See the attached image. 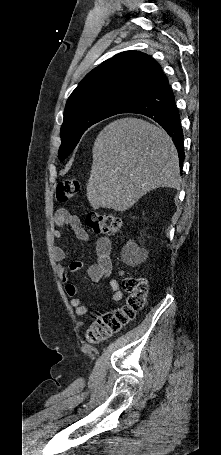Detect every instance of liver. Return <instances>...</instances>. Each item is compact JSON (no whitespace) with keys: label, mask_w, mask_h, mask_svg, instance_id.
Wrapping results in <instances>:
<instances>
[{"label":"liver","mask_w":221,"mask_h":455,"mask_svg":"<svg viewBox=\"0 0 221 455\" xmlns=\"http://www.w3.org/2000/svg\"><path fill=\"white\" fill-rule=\"evenodd\" d=\"M92 154L87 198L95 210L124 212L153 189L180 187L172 139L145 120L126 117L109 123L97 136Z\"/></svg>","instance_id":"liver-1"}]
</instances>
